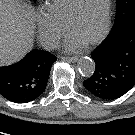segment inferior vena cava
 Masks as SVG:
<instances>
[{"mask_svg":"<svg viewBox=\"0 0 135 135\" xmlns=\"http://www.w3.org/2000/svg\"><path fill=\"white\" fill-rule=\"evenodd\" d=\"M41 46L45 50L58 49L60 47V42L57 38L52 35H47L41 39Z\"/></svg>","mask_w":135,"mask_h":135,"instance_id":"602c4592","label":"inferior vena cava"}]
</instances>
